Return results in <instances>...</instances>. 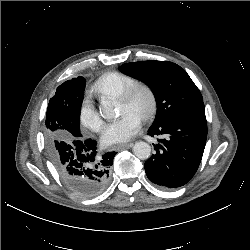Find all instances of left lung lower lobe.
I'll list each match as a JSON object with an SVG mask.
<instances>
[{"label":"left lung lower lobe","mask_w":250,"mask_h":250,"mask_svg":"<svg viewBox=\"0 0 250 250\" xmlns=\"http://www.w3.org/2000/svg\"><path fill=\"white\" fill-rule=\"evenodd\" d=\"M150 136H160L153 154L145 162L149 180L163 188H177L188 183L196 173L207 138L205 113L183 115L157 126Z\"/></svg>","instance_id":"obj_1"}]
</instances>
